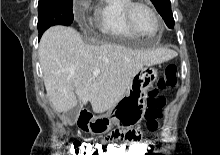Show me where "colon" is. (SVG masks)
<instances>
[{"mask_svg":"<svg viewBox=\"0 0 220 155\" xmlns=\"http://www.w3.org/2000/svg\"><path fill=\"white\" fill-rule=\"evenodd\" d=\"M177 84V67L168 65L157 82L156 87L148 92L146 100L145 119L150 131L157 130L159 120L163 114L165 98L161 91L174 88ZM94 145L93 143L75 141L71 149L77 155H153L155 147L153 142L125 141V146Z\"/></svg>","mask_w":220,"mask_h":155,"instance_id":"colon-1","label":"colon"}]
</instances>
